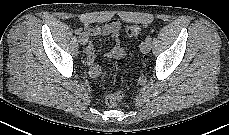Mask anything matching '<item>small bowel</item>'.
Segmentation results:
<instances>
[{"instance_id":"c3829d8e","label":"small bowel","mask_w":229,"mask_h":135,"mask_svg":"<svg viewBox=\"0 0 229 135\" xmlns=\"http://www.w3.org/2000/svg\"><path fill=\"white\" fill-rule=\"evenodd\" d=\"M103 31L108 33V34L115 35L117 29H116V26L114 23L109 22L104 26ZM117 48H119V44H116L115 49H117Z\"/></svg>"}]
</instances>
